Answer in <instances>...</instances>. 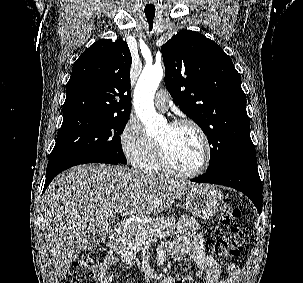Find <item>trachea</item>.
<instances>
[{"instance_id":"3493384b","label":"trachea","mask_w":303,"mask_h":283,"mask_svg":"<svg viewBox=\"0 0 303 283\" xmlns=\"http://www.w3.org/2000/svg\"><path fill=\"white\" fill-rule=\"evenodd\" d=\"M146 18H147V21H148V23H149V30L151 31L154 16L146 15Z\"/></svg>"}]
</instances>
